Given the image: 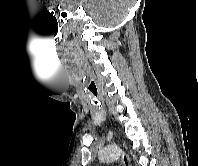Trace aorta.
<instances>
[{"label":"aorta","instance_id":"1","mask_svg":"<svg viewBox=\"0 0 198 166\" xmlns=\"http://www.w3.org/2000/svg\"><path fill=\"white\" fill-rule=\"evenodd\" d=\"M121 149L116 145L105 147L99 152V160L101 162H110L117 160L121 156Z\"/></svg>","mask_w":198,"mask_h":166}]
</instances>
